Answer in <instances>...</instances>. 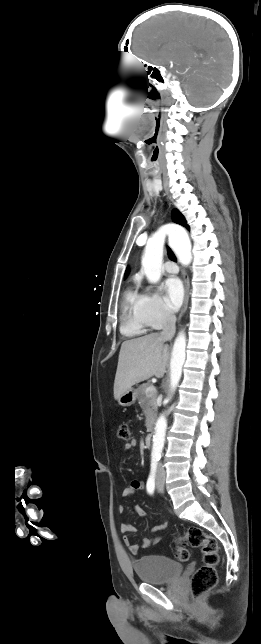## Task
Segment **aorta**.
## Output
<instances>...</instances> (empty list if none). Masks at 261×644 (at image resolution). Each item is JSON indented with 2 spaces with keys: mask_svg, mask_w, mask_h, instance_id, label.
<instances>
[{
  "mask_svg": "<svg viewBox=\"0 0 261 644\" xmlns=\"http://www.w3.org/2000/svg\"><path fill=\"white\" fill-rule=\"evenodd\" d=\"M168 234L169 240L175 245L177 255L183 264L190 263L192 259L191 247L188 242L183 243V246L178 244L182 243V238L175 233L173 229H163L155 233L147 242L142 257V268L144 273L151 283H156L160 280L163 272V248L165 236ZM185 348L186 337L184 333H180L175 339L174 346L171 353L170 360V390L171 394L174 393L181 375L182 367L185 362ZM167 419L165 414H161L155 424V431L153 435V444L151 455L153 458L161 455L166 436Z\"/></svg>",
  "mask_w": 261,
  "mask_h": 644,
  "instance_id": "1",
  "label": "aorta"
}]
</instances>
